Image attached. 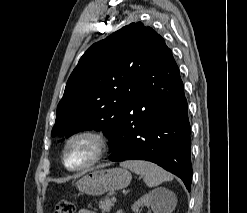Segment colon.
I'll return each instance as SVG.
<instances>
[{
    "label": "colon",
    "instance_id": "5ec220e1",
    "mask_svg": "<svg viewBox=\"0 0 247 213\" xmlns=\"http://www.w3.org/2000/svg\"><path fill=\"white\" fill-rule=\"evenodd\" d=\"M54 213H74V205L68 200H61L57 203Z\"/></svg>",
    "mask_w": 247,
    "mask_h": 213
}]
</instances>
